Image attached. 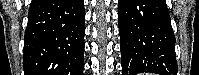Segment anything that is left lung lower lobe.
<instances>
[{
	"label": "left lung lower lobe",
	"instance_id": "0a47b994",
	"mask_svg": "<svg viewBox=\"0 0 199 75\" xmlns=\"http://www.w3.org/2000/svg\"><path fill=\"white\" fill-rule=\"evenodd\" d=\"M122 75H177L175 36L165 0H118Z\"/></svg>",
	"mask_w": 199,
	"mask_h": 75
}]
</instances>
